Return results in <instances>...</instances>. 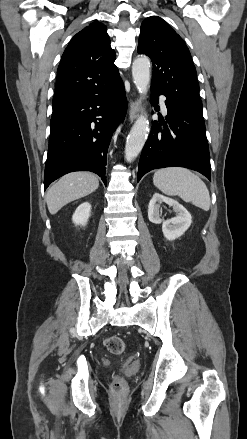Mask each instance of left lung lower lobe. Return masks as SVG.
Instances as JSON below:
<instances>
[{"label":"left lung lower lobe","instance_id":"obj_1","mask_svg":"<svg viewBox=\"0 0 247 439\" xmlns=\"http://www.w3.org/2000/svg\"><path fill=\"white\" fill-rule=\"evenodd\" d=\"M166 96V121L153 122L139 161V181L147 172L179 166L196 170L210 179V155L202 113L179 105L162 91L151 87V103ZM163 126L164 128H162Z\"/></svg>","mask_w":247,"mask_h":439}]
</instances>
